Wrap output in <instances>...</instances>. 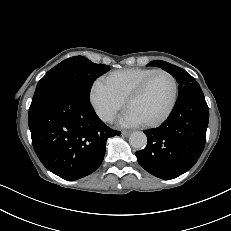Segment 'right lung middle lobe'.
I'll return each mask as SVG.
<instances>
[{
  "instance_id": "1",
  "label": "right lung middle lobe",
  "mask_w": 231,
  "mask_h": 231,
  "mask_svg": "<svg viewBox=\"0 0 231 231\" xmlns=\"http://www.w3.org/2000/svg\"><path fill=\"white\" fill-rule=\"evenodd\" d=\"M110 70L108 65L95 64L83 56L68 58L38 82L31 105L39 103L59 89H69L89 98L93 82Z\"/></svg>"
}]
</instances>
